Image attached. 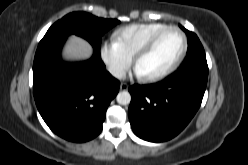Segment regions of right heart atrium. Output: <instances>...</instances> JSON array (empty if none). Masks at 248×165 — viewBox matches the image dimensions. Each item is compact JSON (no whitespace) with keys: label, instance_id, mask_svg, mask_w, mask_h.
<instances>
[{"label":"right heart atrium","instance_id":"1","mask_svg":"<svg viewBox=\"0 0 248 165\" xmlns=\"http://www.w3.org/2000/svg\"><path fill=\"white\" fill-rule=\"evenodd\" d=\"M100 54L107 70L115 78H122L132 64V57L115 40L104 42Z\"/></svg>","mask_w":248,"mask_h":165}]
</instances>
